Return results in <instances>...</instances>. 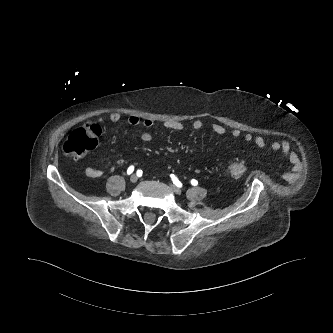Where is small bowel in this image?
<instances>
[{
    "instance_id": "obj_1",
    "label": "small bowel",
    "mask_w": 333,
    "mask_h": 333,
    "mask_svg": "<svg viewBox=\"0 0 333 333\" xmlns=\"http://www.w3.org/2000/svg\"><path fill=\"white\" fill-rule=\"evenodd\" d=\"M121 119V115L119 113H112L110 115V121L113 123L119 122ZM127 123L130 126H137L141 124L144 128L145 131L142 132L140 139L144 143H149L152 140V134L149 131L153 126H154V121L150 118H145L141 120L137 116H130L127 119ZM165 128L169 131H181L184 129V125L181 122L177 121H167L164 124ZM203 127V121L201 119H195L192 124V129L194 131H198ZM212 130L214 133L218 135H222L226 132L225 127L219 124H214L212 126ZM232 136L234 138H238L241 136V131L239 129H233L231 132ZM244 139L247 142L253 141L258 147L263 148L266 145L265 140L260 137V136H253L250 133H247L244 135ZM272 149L276 152H281L282 155L284 156L285 160L288 161L291 164V169L290 171L286 174L288 179H293L295 175L300 171L301 164H300V159L296 152L292 149L290 143L287 140L283 141H276L273 142L271 145ZM85 173L88 177L91 178H100L103 176L104 172L101 169L94 168L91 166H87L85 168Z\"/></svg>"
}]
</instances>
